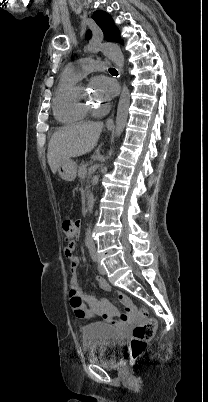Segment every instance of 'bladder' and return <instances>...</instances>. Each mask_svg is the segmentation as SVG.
Masks as SVG:
<instances>
[{
	"instance_id": "bladder-1",
	"label": "bladder",
	"mask_w": 208,
	"mask_h": 402,
	"mask_svg": "<svg viewBox=\"0 0 208 402\" xmlns=\"http://www.w3.org/2000/svg\"><path fill=\"white\" fill-rule=\"evenodd\" d=\"M123 343V338L113 326L94 323L83 327V348L87 359L101 365L116 363L114 357Z\"/></svg>"
}]
</instances>
